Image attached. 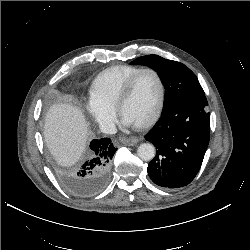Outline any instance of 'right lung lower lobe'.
<instances>
[{
    "label": "right lung lower lobe",
    "instance_id": "1",
    "mask_svg": "<svg viewBox=\"0 0 250 250\" xmlns=\"http://www.w3.org/2000/svg\"><path fill=\"white\" fill-rule=\"evenodd\" d=\"M116 150L109 138L91 141L89 159L71 176V185L77 195L93 196L104 188Z\"/></svg>",
    "mask_w": 250,
    "mask_h": 250
}]
</instances>
